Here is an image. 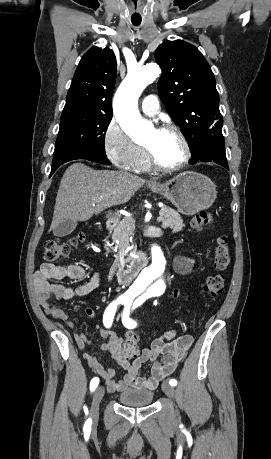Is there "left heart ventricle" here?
Returning a JSON list of instances; mask_svg holds the SVG:
<instances>
[{"instance_id":"b2bd125f","label":"left heart ventricle","mask_w":271,"mask_h":459,"mask_svg":"<svg viewBox=\"0 0 271 459\" xmlns=\"http://www.w3.org/2000/svg\"><path fill=\"white\" fill-rule=\"evenodd\" d=\"M144 144L164 162H176L183 155L182 143L172 132H163L154 128L149 132Z\"/></svg>"}]
</instances>
